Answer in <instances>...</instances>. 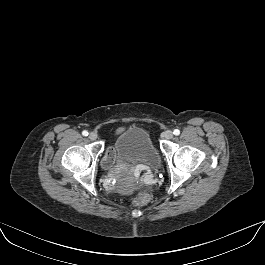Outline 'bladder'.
Masks as SVG:
<instances>
[{
    "label": "bladder",
    "mask_w": 265,
    "mask_h": 265,
    "mask_svg": "<svg viewBox=\"0 0 265 265\" xmlns=\"http://www.w3.org/2000/svg\"><path fill=\"white\" fill-rule=\"evenodd\" d=\"M111 159L118 164H144L159 169L160 155L150 134L141 127H130L117 135L109 147Z\"/></svg>",
    "instance_id": "1"
}]
</instances>
